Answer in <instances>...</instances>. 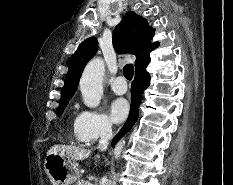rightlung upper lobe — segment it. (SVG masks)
I'll return each mask as SVG.
<instances>
[{
  "label": "right lung upper lobe",
  "mask_w": 233,
  "mask_h": 185,
  "mask_svg": "<svg viewBox=\"0 0 233 185\" xmlns=\"http://www.w3.org/2000/svg\"><path fill=\"white\" fill-rule=\"evenodd\" d=\"M154 30L145 19L139 18L135 12L129 11L115 27L113 45L118 53H131L136 56L135 69L147 67L150 62V52L159 43H150ZM98 42L90 37L80 44L69 64L64 86L61 90L62 101H69L73 96L86 63L95 55Z\"/></svg>",
  "instance_id": "right-lung-upper-lobe-1"
}]
</instances>
